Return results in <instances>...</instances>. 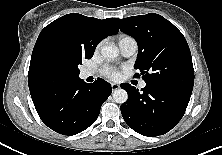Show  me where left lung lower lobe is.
Here are the masks:
<instances>
[{
    "label": "left lung lower lobe",
    "mask_w": 222,
    "mask_h": 155,
    "mask_svg": "<svg viewBox=\"0 0 222 155\" xmlns=\"http://www.w3.org/2000/svg\"><path fill=\"white\" fill-rule=\"evenodd\" d=\"M128 100L120 107L125 122L137 133L155 137L170 131L183 117L191 94L149 85L139 92L128 83L121 85Z\"/></svg>",
    "instance_id": "0a47b994"
}]
</instances>
